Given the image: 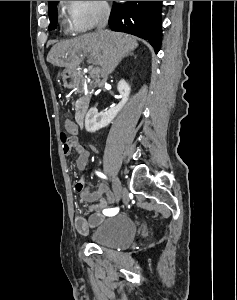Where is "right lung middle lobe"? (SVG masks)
Returning <instances> with one entry per match:
<instances>
[{"label":"right lung middle lobe","mask_w":237,"mask_h":300,"mask_svg":"<svg viewBox=\"0 0 237 300\" xmlns=\"http://www.w3.org/2000/svg\"><path fill=\"white\" fill-rule=\"evenodd\" d=\"M59 1H52L49 3V19L50 25L48 27L49 30L55 29L57 26V3Z\"/></svg>","instance_id":"right-lung-middle-lobe-1"}]
</instances>
